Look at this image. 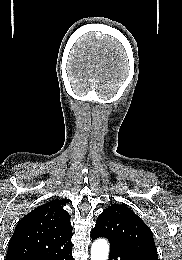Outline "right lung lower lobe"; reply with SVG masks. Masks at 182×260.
Listing matches in <instances>:
<instances>
[{
    "label": "right lung lower lobe",
    "instance_id": "1",
    "mask_svg": "<svg viewBox=\"0 0 182 260\" xmlns=\"http://www.w3.org/2000/svg\"><path fill=\"white\" fill-rule=\"evenodd\" d=\"M34 260H73L72 247L50 255L35 258Z\"/></svg>",
    "mask_w": 182,
    "mask_h": 260
}]
</instances>
